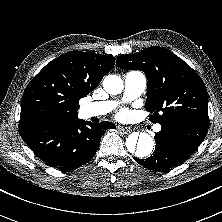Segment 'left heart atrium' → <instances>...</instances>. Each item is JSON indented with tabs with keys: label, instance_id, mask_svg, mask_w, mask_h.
<instances>
[{
	"label": "left heart atrium",
	"instance_id": "1",
	"mask_svg": "<svg viewBox=\"0 0 222 222\" xmlns=\"http://www.w3.org/2000/svg\"><path fill=\"white\" fill-rule=\"evenodd\" d=\"M126 113H127L126 111H121L118 116H119L120 118H123V117L126 116Z\"/></svg>",
	"mask_w": 222,
	"mask_h": 222
}]
</instances>
